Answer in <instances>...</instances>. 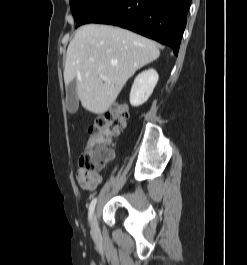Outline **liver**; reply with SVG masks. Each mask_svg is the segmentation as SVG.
Returning <instances> with one entry per match:
<instances>
[{"instance_id": "6515ba94", "label": "liver", "mask_w": 247, "mask_h": 265, "mask_svg": "<svg viewBox=\"0 0 247 265\" xmlns=\"http://www.w3.org/2000/svg\"><path fill=\"white\" fill-rule=\"evenodd\" d=\"M159 55L153 41L131 31L109 25H84L67 49L65 86L75 80L82 106L100 115L115 102L127 80ZM100 74L107 80H102Z\"/></svg>"}]
</instances>
